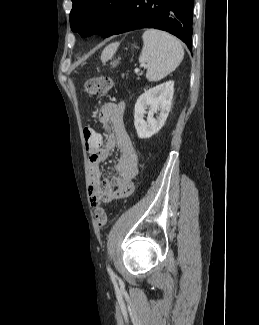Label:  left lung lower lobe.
Returning a JSON list of instances; mask_svg holds the SVG:
<instances>
[{
	"label": "left lung lower lobe",
	"mask_w": 259,
	"mask_h": 325,
	"mask_svg": "<svg viewBox=\"0 0 259 325\" xmlns=\"http://www.w3.org/2000/svg\"><path fill=\"white\" fill-rule=\"evenodd\" d=\"M193 7L194 0H126L109 36L156 28L177 36L191 49Z\"/></svg>",
	"instance_id": "left-lung-lower-lobe-1"
}]
</instances>
